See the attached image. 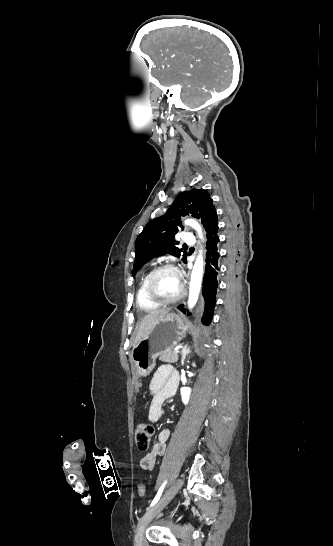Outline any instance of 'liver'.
<instances>
[{
	"label": "liver",
	"mask_w": 333,
	"mask_h": 546,
	"mask_svg": "<svg viewBox=\"0 0 333 546\" xmlns=\"http://www.w3.org/2000/svg\"><path fill=\"white\" fill-rule=\"evenodd\" d=\"M170 309H159L150 312L148 315H145L141 320L136 337L134 339L133 347H135L141 340L146 338L154 326L162 320L168 313Z\"/></svg>",
	"instance_id": "1"
}]
</instances>
